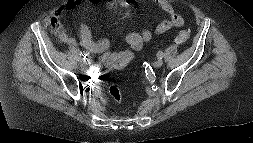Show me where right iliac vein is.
Segmentation results:
<instances>
[{"label":"right iliac vein","mask_w":253,"mask_h":143,"mask_svg":"<svg viewBox=\"0 0 253 143\" xmlns=\"http://www.w3.org/2000/svg\"><path fill=\"white\" fill-rule=\"evenodd\" d=\"M79 59V58H78ZM84 63L86 65H91L93 63V60L90 58V57H87L85 60H84Z\"/></svg>","instance_id":"right-iliac-vein-1"}]
</instances>
